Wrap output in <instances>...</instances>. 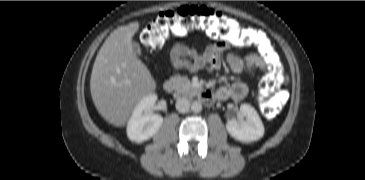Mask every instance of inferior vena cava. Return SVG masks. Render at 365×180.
Returning a JSON list of instances; mask_svg holds the SVG:
<instances>
[{
    "label": "inferior vena cava",
    "mask_w": 365,
    "mask_h": 180,
    "mask_svg": "<svg viewBox=\"0 0 365 180\" xmlns=\"http://www.w3.org/2000/svg\"><path fill=\"white\" fill-rule=\"evenodd\" d=\"M175 106L180 113H185L190 108V101L186 97H181L177 99Z\"/></svg>",
    "instance_id": "602c4592"
}]
</instances>
